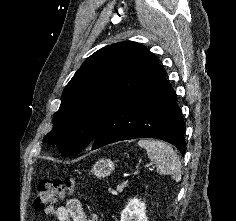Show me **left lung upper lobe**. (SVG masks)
<instances>
[{
    "instance_id": "1",
    "label": "left lung upper lobe",
    "mask_w": 236,
    "mask_h": 221,
    "mask_svg": "<svg viewBox=\"0 0 236 221\" xmlns=\"http://www.w3.org/2000/svg\"><path fill=\"white\" fill-rule=\"evenodd\" d=\"M159 60L136 42L101 48L77 70L61 96L53 129L43 138L60 152L75 155L91 144L111 112L158 65Z\"/></svg>"
}]
</instances>
